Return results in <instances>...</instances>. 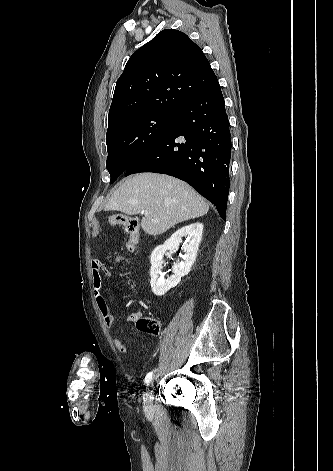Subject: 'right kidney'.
I'll return each mask as SVG.
<instances>
[{"instance_id":"right-kidney-1","label":"right kidney","mask_w":333,"mask_h":471,"mask_svg":"<svg viewBox=\"0 0 333 471\" xmlns=\"http://www.w3.org/2000/svg\"><path fill=\"white\" fill-rule=\"evenodd\" d=\"M203 224L196 222L177 230L163 245L157 246L151 254L150 284L152 292L157 296L164 295L168 290L177 286L181 278L190 272L195 261L198 246L202 239ZM186 238L185 255L181 262L173 266V275L164 279L161 273L164 263L163 256L167 250L178 249L182 238Z\"/></svg>"}]
</instances>
